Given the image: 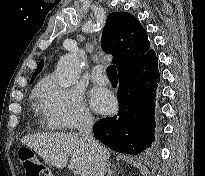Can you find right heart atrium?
<instances>
[{"label": "right heart atrium", "mask_w": 205, "mask_h": 176, "mask_svg": "<svg viewBox=\"0 0 205 176\" xmlns=\"http://www.w3.org/2000/svg\"><path fill=\"white\" fill-rule=\"evenodd\" d=\"M43 117L50 129L72 130L87 126L92 116L81 93L62 87L56 77H47L38 91Z\"/></svg>", "instance_id": "right-heart-atrium-1"}]
</instances>
